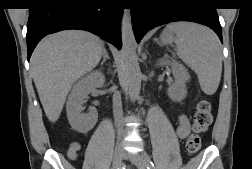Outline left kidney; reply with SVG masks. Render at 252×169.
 <instances>
[{
    "label": "left kidney",
    "instance_id": "1",
    "mask_svg": "<svg viewBox=\"0 0 252 169\" xmlns=\"http://www.w3.org/2000/svg\"><path fill=\"white\" fill-rule=\"evenodd\" d=\"M172 69L175 84L169 88L168 95L172 100L180 101L185 98L187 93L185 81L188 77V73L186 72V69L178 63H172Z\"/></svg>",
    "mask_w": 252,
    "mask_h": 169
}]
</instances>
